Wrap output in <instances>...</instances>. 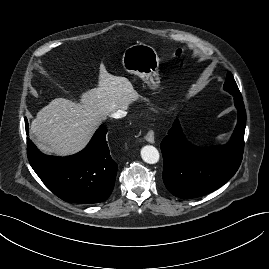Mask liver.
Returning a JSON list of instances; mask_svg holds the SVG:
<instances>
[{
  "label": "liver",
  "instance_id": "obj_1",
  "mask_svg": "<svg viewBox=\"0 0 269 269\" xmlns=\"http://www.w3.org/2000/svg\"><path fill=\"white\" fill-rule=\"evenodd\" d=\"M138 100L131 82L102 70L98 87L84 92L81 103L56 98L32 120L30 130L44 152L66 156L82 150L99 122Z\"/></svg>",
  "mask_w": 269,
  "mask_h": 269
}]
</instances>
